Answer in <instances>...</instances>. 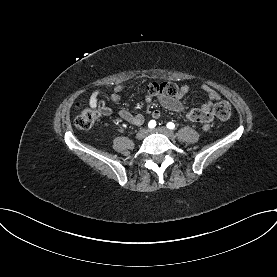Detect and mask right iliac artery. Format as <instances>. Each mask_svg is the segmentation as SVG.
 I'll return each mask as SVG.
<instances>
[{
	"label": "right iliac artery",
	"mask_w": 277,
	"mask_h": 277,
	"mask_svg": "<svg viewBox=\"0 0 277 277\" xmlns=\"http://www.w3.org/2000/svg\"><path fill=\"white\" fill-rule=\"evenodd\" d=\"M156 126V122L154 120H151L149 123H148V127L149 128H154Z\"/></svg>",
	"instance_id": "82829eb1"
}]
</instances>
